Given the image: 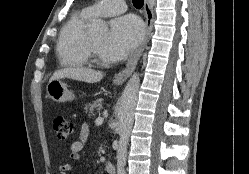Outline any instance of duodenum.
Wrapping results in <instances>:
<instances>
[{
  "mask_svg": "<svg viewBox=\"0 0 249 174\" xmlns=\"http://www.w3.org/2000/svg\"><path fill=\"white\" fill-rule=\"evenodd\" d=\"M105 169L108 174H115L116 173V167L112 162L107 161L105 163Z\"/></svg>",
  "mask_w": 249,
  "mask_h": 174,
  "instance_id": "duodenum-1",
  "label": "duodenum"
}]
</instances>
